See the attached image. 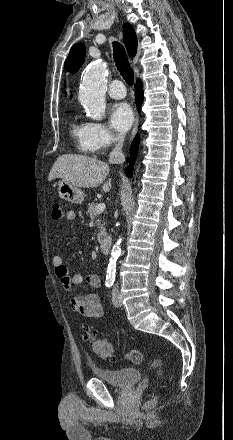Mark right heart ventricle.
Wrapping results in <instances>:
<instances>
[{"mask_svg": "<svg viewBox=\"0 0 233 440\" xmlns=\"http://www.w3.org/2000/svg\"><path fill=\"white\" fill-rule=\"evenodd\" d=\"M71 134L73 138L77 142L78 148L86 153H93L91 151L88 136H87V125L86 123H83L79 121L76 117L71 122Z\"/></svg>", "mask_w": 233, "mask_h": 440, "instance_id": "right-heart-ventricle-1", "label": "right heart ventricle"}]
</instances>
